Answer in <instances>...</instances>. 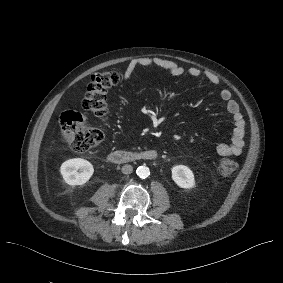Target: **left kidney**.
<instances>
[{"label":"left kidney","mask_w":283,"mask_h":283,"mask_svg":"<svg viewBox=\"0 0 283 283\" xmlns=\"http://www.w3.org/2000/svg\"><path fill=\"white\" fill-rule=\"evenodd\" d=\"M172 179L181 188L190 189L195 186L194 174L190 168L184 165L172 167Z\"/></svg>","instance_id":"obj_1"}]
</instances>
